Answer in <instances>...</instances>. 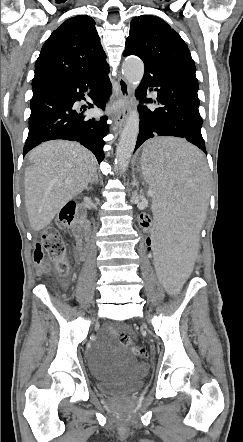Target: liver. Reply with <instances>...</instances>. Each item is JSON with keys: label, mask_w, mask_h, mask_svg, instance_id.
<instances>
[{"label": "liver", "mask_w": 243, "mask_h": 442, "mask_svg": "<svg viewBox=\"0 0 243 442\" xmlns=\"http://www.w3.org/2000/svg\"><path fill=\"white\" fill-rule=\"evenodd\" d=\"M29 161L24 178L25 206L31 228L38 232L87 187L96 159L79 143L52 140L34 148Z\"/></svg>", "instance_id": "liver-1"}]
</instances>
